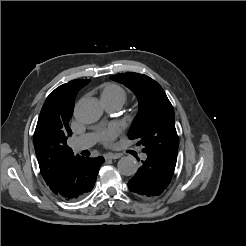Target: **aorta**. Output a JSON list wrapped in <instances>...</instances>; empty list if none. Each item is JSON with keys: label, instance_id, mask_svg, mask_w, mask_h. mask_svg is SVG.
<instances>
[{"label": "aorta", "instance_id": "1", "mask_svg": "<svg viewBox=\"0 0 246 246\" xmlns=\"http://www.w3.org/2000/svg\"><path fill=\"white\" fill-rule=\"evenodd\" d=\"M102 108L97 99L86 98L78 101L74 108L76 120L84 124H91L99 120ZM118 171L125 176H132L137 172V161L131 156L122 157L117 164Z\"/></svg>", "mask_w": 246, "mask_h": 246}]
</instances>
